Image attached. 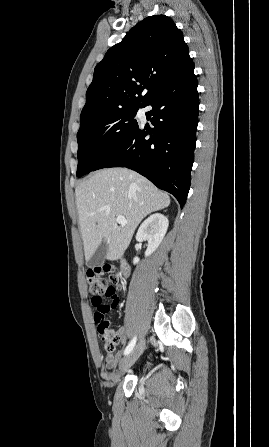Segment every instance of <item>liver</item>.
Returning a JSON list of instances; mask_svg holds the SVG:
<instances>
[{"label":"liver","mask_w":269,"mask_h":447,"mask_svg":"<svg viewBox=\"0 0 269 447\" xmlns=\"http://www.w3.org/2000/svg\"><path fill=\"white\" fill-rule=\"evenodd\" d=\"M75 194L86 261L101 241L108 243L107 259H120L141 220L170 204L166 192L126 168L98 170L78 184ZM116 216L128 224L118 225Z\"/></svg>","instance_id":"obj_1"}]
</instances>
